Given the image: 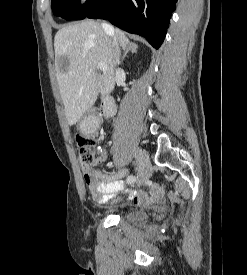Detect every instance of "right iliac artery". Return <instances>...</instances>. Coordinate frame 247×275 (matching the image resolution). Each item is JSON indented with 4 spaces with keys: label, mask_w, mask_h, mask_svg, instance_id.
Segmentation results:
<instances>
[{
    "label": "right iliac artery",
    "mask_w": 247,
    "mask_h": 275,
    "mask_svg": "<svg viewBox=\"0 0 247 275\" xmlns=\"http://www.w3.org/2000/svg\"><path fill=\"white\" fill-rule=\"evenodd\" d=\"M135 180H136V177L133 176V175H130V176H128L126 181H127L128 184H132V183L135 182Z\"/></svg>",
    "instance_id": "obj_1"
}]
</instances>
